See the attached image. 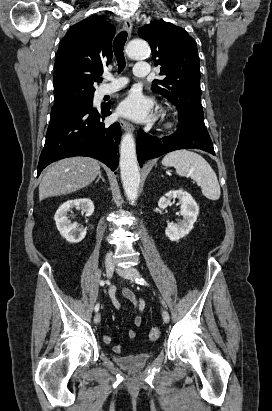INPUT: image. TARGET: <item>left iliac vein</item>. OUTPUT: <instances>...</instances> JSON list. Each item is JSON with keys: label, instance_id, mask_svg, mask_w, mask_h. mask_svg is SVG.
<instances>
[{"label": "left iliac vein", "instance_id": "4c4485c4", "mask_svg": "<svg viewBox=\"0 0 272 411\" xmlns=\"http://www.w3.org/2000/svg\"><path fill=\"white\" fill-rule=\"evenodd\" d=\"M116 272L127 279H136L140 277L138 270L132 267L127 269L116 268ZM162 317L165 323H168L170 321V316L167 310L162 311Z\"/></svg>", "mask_w": 272, "mask_h": 411}]
</instances>
